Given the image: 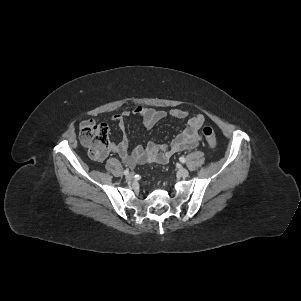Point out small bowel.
<instances>
[{
  "mask_svg": "<svg viewBox=\"0 0 301 301\" xmlns=\"http://www.w3.org/2000/svg\"><path fill=\"white\" fill-rule=\"evenodd\" d=\"M131 113L140 116L147 128H152L167 116V113L163 110L137 106L132 111L125 110L112 117V121L123 132V136L119 142L109 145L108 152L118 155L128 167L144 163H166L174 154L193 149L201 141L199 130L205 122V117L199 113L188 119L185 129L175 136L169 144L158 145L150 141L145 146L139 145L130 151L129 141L125 133V118ZM169 115L174 119L183 120L188 117L189 113L186 110L172 109ZM85 122L87 121H84L82 124Z\"/></svg>",
  "mask_w": 301,
  "mask_h": 301,
  "instance_id": "1",
  "label": "small bowel"
}]
</instances>
